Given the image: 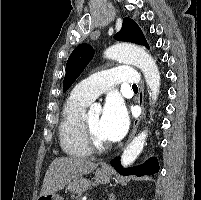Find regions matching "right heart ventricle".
<instances>
[{"label":"right heart ventricle","mask_w":201,"mask_h":200,"mask_svg":"<svg viewBox=\"0 0 201 200\" xmlns=\"http://www.w3.org/2000/svg\"><path fill=\"white\" fill-rule=\"evenodd\" d=\"M89 101L71 94L66 100L58 126L60 147L72 157H85L91 151L84 145L81 132L82 113Z\"/></svg>","instance_id":"obj_1"}]
</instances>
